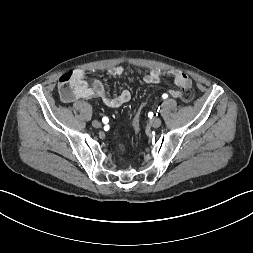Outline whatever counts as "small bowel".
<instances>
[{"label": "small bowel", "instance_id": "1", "mask_svg": "<svg viewBox=\"0 0 253 253\" xmlns=\"http://www.w3.org/2000/svg\"><path fill=\"white\" fill-rule=\"evenodd\" d=\"M127 71L122 66H114L108 70V73L112 77H119ZM69 80L67 82V88L64 90L61 81L59 82L60 95L65 103H73L80 99H100L109 108H118L131 99V93L129 90L124 89L116 95H108L105 91L103 83L95 79L91 84L85 80V72L82 69H75L68 73ZM164 76H171L174 78L175 84L178 89L170 90V96L174 98H181L183 90L191 88V79L187 74L180 70L162 71L160 69H153L147 73L143 81L146 84H156Z\"/></svg>", "mask_w": 253, "mask_h": 253}]
</instances>
